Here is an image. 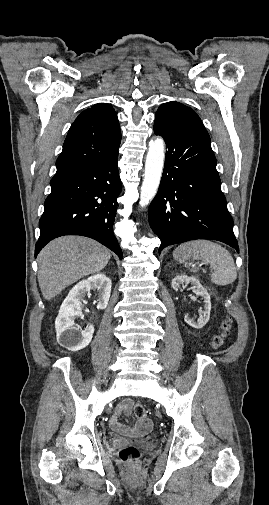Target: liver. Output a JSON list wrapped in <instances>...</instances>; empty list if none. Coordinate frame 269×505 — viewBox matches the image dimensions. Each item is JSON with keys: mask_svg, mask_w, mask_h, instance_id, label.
<instances>
[{"mask_svg": "<svg viewBox=\"0 0 269 505\" xmlns=\"http://www.w3.org/2000/svg\"><path fill=\"white\" fill-rule=\"evenodd\" d=\"M111 258L110 251L95 240L80 236L59 237L38 255V283L50 300L86 275L100 272Z\"/></svg>", "mask_w": 269, "mask_h": 505, "instance_id": "6515ba94", "label": "liver"}]
</instances>
